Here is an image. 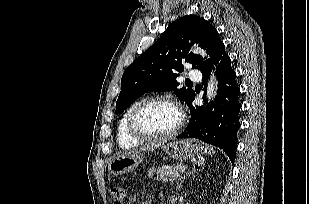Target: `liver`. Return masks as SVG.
I'll return each instance as SVG.
<instances>
[{
	"mask_svg": "<svg viewBox=\"0 0 309 204\" xmlns=\"http://www.w3.org/2000/svg\"><path fill=\"white\" fill-rule=\"evenodd\" d=\"M165 141H160V142H154V143H151V144H148L138 150H134V151H131L130 153H140V152H144V151H151L153 150V148H156V147H159L161 146L162 144H164Z\"/></svg>",
	"mask_w": 309,
	"mask_h": 204,
	"instance_id": "1",
	"label": "liver"
}]
</instances>
